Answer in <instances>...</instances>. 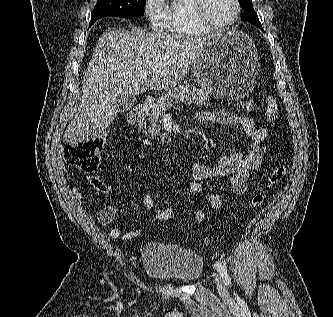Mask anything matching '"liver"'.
<instances>
[{"instance_id": "obj_1", "label": "liver", "mask_w": 333, "mask_h": 317, "mask_svg": "<svg viewBox=\"0 0 333 317\" xmlns=\"http://www.w3.org/2000/svg\"><path fill=\"white\" fill-rule=\"evenodd\" d=\"M208 37L146 29H111L99 38L83 77L81 102L64 140L76 144L105 130L117 117L118 96H136L179 84Z\"/></svg>"}]
</instances>
